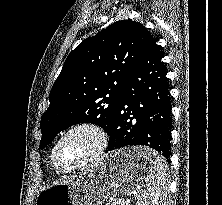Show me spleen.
<instances>
[{"instance_id":"obj_1","label":"spleen","mask_w":222,"mask_h":205,"mask_svg":"<svg viewBox=\"0 0 222 205\" xmlns=\"http://www.w3.org/2000/svg\"><path fill=\"white\" fill-rule=\"evenodd\" d=\"M148 168L145 176L144 189L136 196L137 205H166L168 165L166 160L158 155L146 157Z\"/></svg>"}]
</instances>
